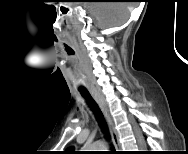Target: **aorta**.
<instances>
[{"instance_id": "obj_1", "label": "aorta", "mask_w": 188, "mask_h": 154, "mask_svg": "<svg viewBox=\"0 0 188 154\" xmlns=\"http://www.w3.org/2000/svg\"><path fill=\"white\" fill-rule=\"evenodd\" d=\"M106 148H107L106 144L102 141H97L93 144H89L85 146V149H89L90 151H103Z\"/></svg>"}]
</instances>
